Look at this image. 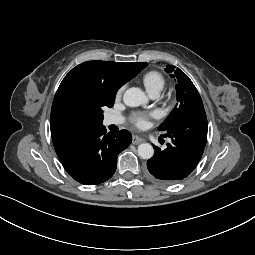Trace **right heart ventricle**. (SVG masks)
<instances>
[{
	"label": "right heart ventricle",
	"mask_w": 255,
	"mask_h": 255,
	"mask_svg": "<svg viewBox=\"0 0 255 255\" xmlns=\"http://www.w3.org/2000/svg\"><path fill=\"white\" fill-rule=\"evenodd\" d=\"M142 83L149 94H159L165 87V78L158 71H148L142 76Z\"/></svg>",
	"instance_id": "e07e8e85"
}]
</instances>
